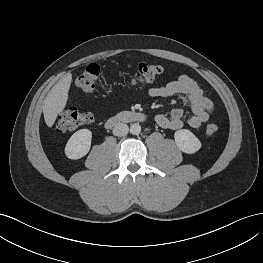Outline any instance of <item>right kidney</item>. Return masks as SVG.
<instances>
[{
	"label": "right kidney",
	"mask_w": 263,
	"mask_h": 263,
	"mask_svg": "<svg viewBox=\"0 0 263 263\" xmlns=\"http://www.w3.org/2000/svg\"><path fill=\"white\" fill-rule=\"evenodd\" d=\"M92 133L88 129L75 132L65 146V154L70 159H80L85 156L91 147Z\"/></svg>",
	"instance_id": "1"
}]
</instances>
